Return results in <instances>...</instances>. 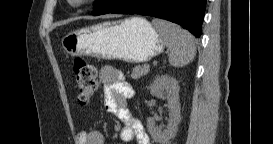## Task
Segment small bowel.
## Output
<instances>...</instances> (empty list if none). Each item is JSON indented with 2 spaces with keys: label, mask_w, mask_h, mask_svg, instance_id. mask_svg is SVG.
<instances>
[{
  "label": "small bowel",
  "mask_w": 273,
  "mask_h": 144,
  "mask_svg": "<svg viewBox=\"0 0 273 144\" xmlns=\"http://www.w3.org/2000/svg\"><path fill=\"white\" fill-rule=\"evenodd\" d=\"M99 79L104 85V105L124 124L120 132V139L124 143L136 141L137 144H150V138L127 108V102L132 98L133 92L124 80L121 72L110 66L100 70ZM78 144H104L105 136L99 130H82L77 134Z\"/></svg>",
  "instance_id": "1"
}]
</instances>
